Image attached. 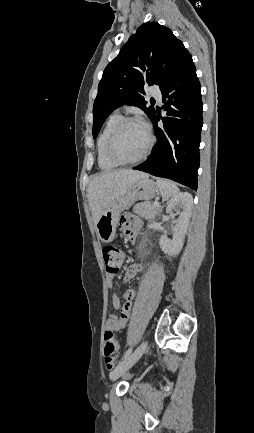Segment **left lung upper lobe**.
Returning a JSON list of instances; mask_svg holds the SVG:
<instances>
[{"label": "left lung upper lobe", "instance_id": "obj_1", "mask_svg": "<svg viewBox=\"0 0 254 433\" xmlns=\"http://www.w3.org/2000/svg\"><path fill=\"white\" fill-rule=\"evenodd\" d=\"M186 52L169 28L158 22L142 24L103 72L93 105V137L122 105L137 106L151 119L155 109L146 106L144 85L156 84L161 89Z\"/></svg>", "mask_w": 254, "mask_h": 433}]
</instances>
